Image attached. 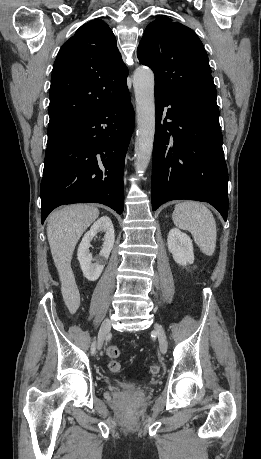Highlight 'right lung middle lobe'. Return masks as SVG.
Instances as JSON below:
<instances>
[{
    "label": "right lung middle lobe",
    "instance_id": "right-lung-middle-lobe-1",
    "mask_svg": "<svg viewBox=\"0 0 261 459\" xmlns=\"http://www.w3.org/2000/svg\"><path fill=\"white\" fill-rule=\"evenodd\" d=\"M76 124L74 123H61L48 127V143L50 145L62 136H64L69 130H71Z\"/></svg>",
    "mask_w": 261,
    "mask_h": 459
}]
</instances>
